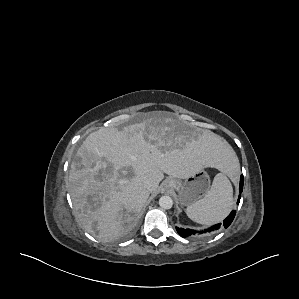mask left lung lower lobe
<instances>
[{
  "label": "left lung lower lobe",
  "mask_w": 299,
  "mask_h": 299,
  "mask_svg": "<svg viewBox=\"0 0 299 299\" xmlns=\"http://www.w3.org/2000/svg\"><path fill=\"white\" fill-rule=\"evenodd\" d=\"M239 191L240 193L243 191V175H241V178H240V188H239ZM240 202V196L238 198V201H237V204H239ZM235 214H236V211L233 210L229 216L223 221V226L225 228H227L233 221L234 217H235ZM220 225L221 224H217L207 230H205L204 232H212L214 230H217L220 228ZM177 232L182 236V237H188V236H191V235H195L197 233V231H194V230H191V229H183V228H176ZM199 233H202V232H199Z\"/></svg>",
  "instance_id": "obj_1"
}]
</instances>
